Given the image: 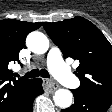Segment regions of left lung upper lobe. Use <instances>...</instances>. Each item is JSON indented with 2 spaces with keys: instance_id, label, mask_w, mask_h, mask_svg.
I'll return each instance as SVG.
<instances>
[{
  "instance_id": "1",
  "label": "left lung upper lobe",
  "mask_w": 112,
  "mask_h": 112,
  "mask_svg": "<svg viewBox=\"0 0 112 112\" xmlns=\"http://www.w3.org/2000/svg\"><path fill=\"white\" fill-rule=\"evenodd\" d=\"M43 27L65 58L78 59L74 72L82 94L112 98V45L90 21L75 17L55 23L44 22Z\"/></svg>"
}]
</instances>
